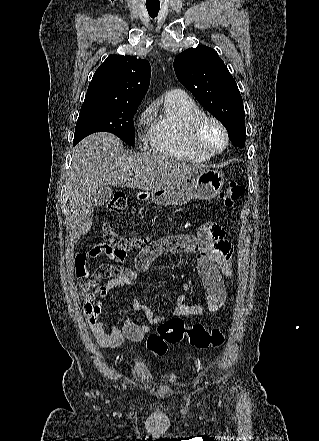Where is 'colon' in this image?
Here are the masks:
<instances>
[{"instance_id":"1","label":"colon","mask_w":319,"mask_h":441,"mask_svg":"<svg viewBox=\"0 0 319 441\" xmlns=\"http://www.w3.org/2000/svg\"><path fill=\"white\" fill-rule=\"evenodd\" d=\"M245 188L238 182H231L229 187L220 194L222 202L221 209L232 208L243 196ZM127 207L126 195L121 192H115L108 201L109 210L115 213H122ZM104 250L117 261H123L129 252L141 248L146 240L126 236L117 232L111 223L103 227ZM78 285L84 288L88 287L89 273L86 266L77 268ZM187 336L192 346L199 349L218 348L225 340V332L222 328L208 329L201 324H195L186 328L180 317H171L162 321L155 333L147 338V348L154 356H162L167 352L169 344L180 342L184 336Z\"/></svg>"}]
</instances>
